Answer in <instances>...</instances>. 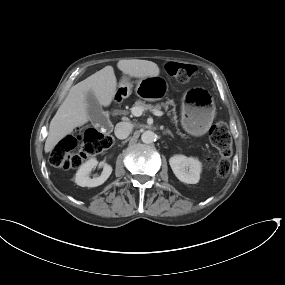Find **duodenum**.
<instances>
[{"label": "duodenum", "instance_id": "410a0bca", "mask_svg": "<svg viewBox=\"0 0 285 285\" xmlns=\"http://www.w3.org/2000/svg\"><path fill=\"white\" fill-rule=\"evenodd\" d=\"M114 100L117 101L118 100V96L114 95Z\"/></svg>", "mask_w": 285, "mask_h": 285}]
</instances>
